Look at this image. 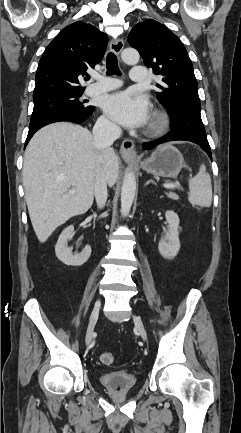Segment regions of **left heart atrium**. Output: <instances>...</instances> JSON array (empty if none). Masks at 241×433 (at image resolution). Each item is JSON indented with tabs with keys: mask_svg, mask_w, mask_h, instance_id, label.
Instances as JSON below:
<instances>
[{
	"mask_svg": "<svg viewBox=\"0 0 241 433\" xmlns=\"http://www.w3.org/2000/svg\"><path fill=\"white\" fill-rule=\"evenodd\" d=\"M104 112L116 123L128 127H141L149 119V103L144 97L129 92H117L103 100Z\"/></svg>",
	"mask_w": 241,
	"mask_h": 433,
	"instance_id": "obj_1",
	"label": "left heart atrium"
}]
</instances>
